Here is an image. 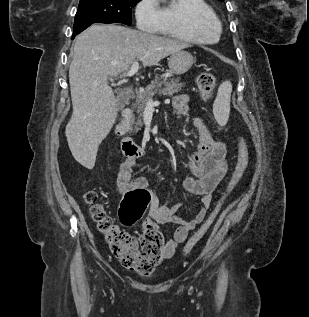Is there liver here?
<instances>
[{
  "label": "liver",
  "instance_id": "6515ba94",
  "mask_svg": "<svg viewBox=\"0 0 309 317\" xmlns=\"http://www.w3.org/2000/svg\"><path fill=\"white\" fill-rule=\"evenodd\" d=\"M189 46L119 25L94 24L76 38L69 67L73 113L65 134L77 162L92 169L99 145L115 124L117 100L108 79L135 60L153 66Z\"/></svg>",
  "mask_w": 309,
  "mask_h": 317
}]
</instances>
